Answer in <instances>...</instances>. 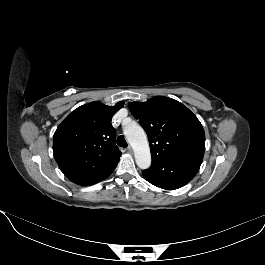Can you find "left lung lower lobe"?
Segmentation results:
<instances>
[{"mask_svg":"<svg viewBox=\"0 0 265 265\" xmlns=\"http://www.w3.org/2000/svg\"><path fill=\"white\" fill-rule=\"evenodd\" d=\"M204 154H191L152 163L143 171L144 178L151 184L166 190L178 189L190 182L197 174Z\"/></svg>","mask_w":265,"mask_h":265,"instance_id":"1","label":"left lung lower lobe"}]
</instances>
